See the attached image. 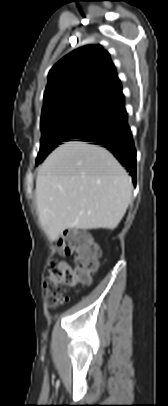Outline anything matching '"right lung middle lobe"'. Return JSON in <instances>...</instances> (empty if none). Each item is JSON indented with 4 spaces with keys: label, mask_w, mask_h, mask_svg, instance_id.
I'll return each mask as SVG.
<instances>
[{
    "label": "right lung middle lobe",
    "mask_w": 168,
    "mask_h": 406,
    "mask_svg": "<svg viewBox=\"0 0 168 406\" xmlns=\"http://www.w3.org/2000/svg\"><path fill=\"white\" fill-rule=\"evenodd\" d=\"M111 118L109 104L97 102L69 105L41 117V147L36 165L62 142L79 139Z\"/></svg>",
    "instance_id": "1"
}]
</instances>
